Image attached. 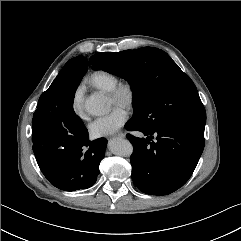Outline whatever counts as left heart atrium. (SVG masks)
I'll list each match as a JSON object with an SVG mask.
<instances>
[{"label":"left heart atrium","mask_w":241,"mask_h":241,"mask_svg":"<svg viewBox=\"0 0 241 241\" xmlns=\"http://www.w3.org/2000/svg\"><path fill=\"white\" fill-rule=\"evenodd\" d=\"M128 114L123 106L116 105L107 115L98 117L89 126L90 135L100 138L115 134L127 121Z\"/></svg>","instance_id":"obj_1"}]
</instances>
